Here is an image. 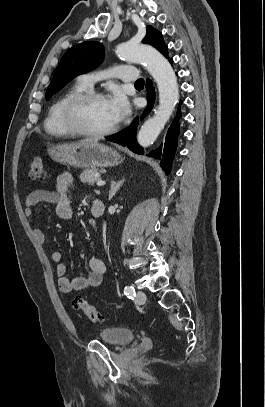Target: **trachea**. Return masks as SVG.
<instances>
[{
  "label": "trachea",
  "mask_w": 265,
  "mask_h": 407,
  "mask_svg": "<svg viewBox=\"0 0 265 407\" xmlns=\"http://www.w3.org/2000/svg\"><path fill=\"white\" fill-rule=\"evenodd\" d=\"M135 85H144V79L140 78L135 82Z\"/></svg>",
  "instance_id": "3493384b"
}]
</instances>
